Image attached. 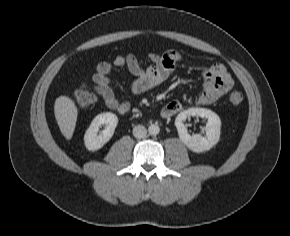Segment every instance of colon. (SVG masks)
Instances as JSON below:
<instances>
[{
  "label": "colon",
  "instance_id": "obj_1",
  "mask_svg": "<svg viewBox=\"0 0 290 236\" xmlns=\"http://www.w3.org/2000/svg\"><path fill=\"white\" fill-rule=\"evenodd\" d=\"M74 98L77 105L83 109L88 108L95 101V96L86 85H81L80 88L75 91ZM243 99L244 96L239 91H234L230 95V101L235 105L240 104Z\"/></svg>",
  "mask_w": 290,
  "mask_h": 236
}]
</instances>
